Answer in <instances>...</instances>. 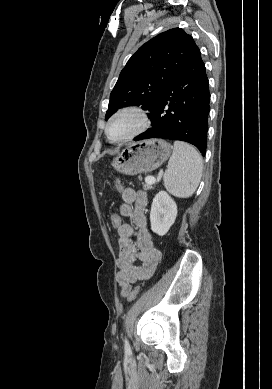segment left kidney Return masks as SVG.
Wrapping results in <instances>:
<instances>
[{
	"label": "left kidney",
	"mask_w": 272,
	"mask_h": 389,
	"mask_svg": "<svg viewBox=\"0 0 272 389\" xmlns=\"http://www.w3.org/2000/svg\"><path fill=\"white\" fill-rule=\"evenodd\" d=\"M177 216V205L166 191L158 192L152 202L150 211L151 230L165 235L174 224Z\"/></svg>",
	"instance_id": "left-kidney-1"
}]
</instances>
